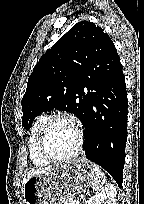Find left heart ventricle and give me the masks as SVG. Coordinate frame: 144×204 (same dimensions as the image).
Masks as SVG:
<instances>
[{"instance_id": "1", "label": "left heart ventricle", "mask_w": 144, "mask_h": 204, "mask_svg": "<svg viewBox=\"0 0 144 204\" xmlns=\"http://www.w3.org/2000/svg\"><path fill=\"white\" fill-rule=\"evenodd\" d=\"M77 143V131L68 120L55 121L46 136L45 145L50 154L61 157L72 153Z\"/></svg>"}]
</instances>
